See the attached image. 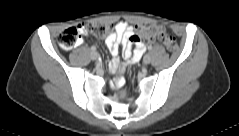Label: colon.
I'll return each mask as SVG.
<instances>
[{
  "instance_id": "colon-1",
  "label": "colon",
  "mask_w": 239,
  "mask_h": 136,
  "mask_svg": "<svg viewBox=\"0 0 239 136\" xmlns=\"http://www.w3.org/2000/svg\"><path fill=\"white\" fill-rule=\"evenodd\" d=\"M113 29V25L110 24L83 23L64 30L60 34L58 42L62 48L70 49L78 44L79 38L84 34L89 33L101 38L112 33ZM134 40L145 42L157 40L169 51H175L177 49V41L174 36L166 34L161 27L151 24L139 26Z\"/></svg>"
}]
</instances>
